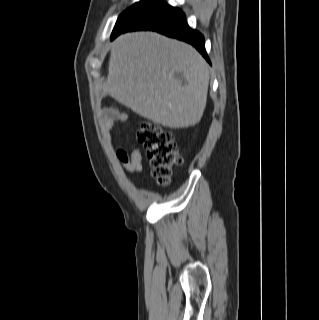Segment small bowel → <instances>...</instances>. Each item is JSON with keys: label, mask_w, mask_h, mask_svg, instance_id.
Masks as SVG:
<instances>
[{"label": "small bowel", "mask_w": 319, "mask_h": 320, "mask_svg": "<svg viewBox=\"0 0 319 320\" xmlns=\"http://www.w3.org/2000/svg\"><path fill=\"white\" fill-rule=\"evenodd\" d=\"M126 120L127 115L122 112H110L104 114L102 127L106 140L109 144H113L112 130L115 123ZM116 157L128 173L139 174L142 172V156L138 147L132 146L130 149L120 148L116 152Z\"/></svg>", "instance_id": "c3829d8e"}]
</instances>
